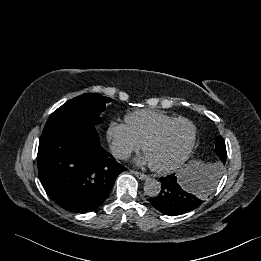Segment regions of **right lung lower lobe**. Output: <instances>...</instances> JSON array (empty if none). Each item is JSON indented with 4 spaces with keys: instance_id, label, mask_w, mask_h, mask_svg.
<instances>
[{
    "instance_id": "obj_1",
    "label": "right lung lower lobe",
    "mask_w": 261,
    "mask_h": 261,
    "mask_svg": "<svg viewBox=\"0 0 261 261\" xmlns=\"http://www.w3.org/2000/svg\"><path fill=\"white\" fill-rule=\"evenodd\" d=\"M40 181L49 197L76 213L93 211L126 168L101 146L93 124L42 133L37 155Z\"/></svg>"
}]
</instances>
